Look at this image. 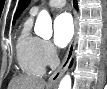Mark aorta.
I'll return each mask as SVG.
<instances>
[{
  "label": "aorta",
  "instance_id": "1",
  "mask_svg": "<svg viewBox=\"0 0 107 89\" xmlns=\"http://www.w3.org/2000/svg\"><path fill=\"white\" fill-rule=\"evenodd\" d=\"M35 33L45 39H49L52 36V20L49 13L46 10H42L36 20ZM72 81L70 75H65L58 89H71Z\"/></svg>",
  "mask_w": 107,
  "mask_h": 89
}]
</instances>
